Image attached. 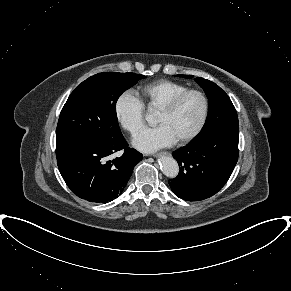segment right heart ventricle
I'll return each instance as SVG.
<instances>
[{
    "label": "right heart ventricle",
    "mask_w": 291,
    "mask_h": 291,
    "mask_svg": "<svg viewBox=\"0 0 291 291\" xmlns=\"http://www.w3.org/2000/svg\"><path fill=\"white\" fill-rule=\"evenodd\" d=\"M187 87L179 82L160 79L141 86L137 93L143 105L151 109H159L175 95L185 91Z\"/></svg>",
    "instance_id": "obj_1"
}]
</instances>
